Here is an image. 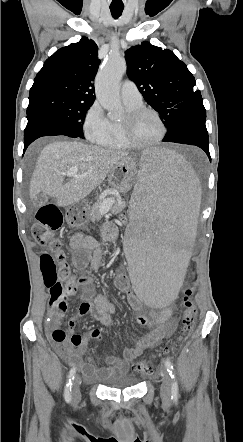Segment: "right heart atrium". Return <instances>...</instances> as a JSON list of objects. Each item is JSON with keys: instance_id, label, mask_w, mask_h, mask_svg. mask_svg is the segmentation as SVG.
<instances>
[{"instance_id": "obj_1", "label": "right heart atrium", "mask_w": 243, "mask_h": 442, "mask_svg": "<svg viewBox=\"0 0 243 442\" xmlns=\"http://www.w3.org/2000/svg\"><path fill=\"white\" fill-rule=\"evenodd\" d=\"M109 120L105 116L102 107L97 101L87 109L83 121V132L86 138L96 142L108 130Z\"/></svg>"}]
</instances>
